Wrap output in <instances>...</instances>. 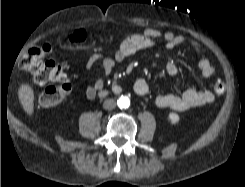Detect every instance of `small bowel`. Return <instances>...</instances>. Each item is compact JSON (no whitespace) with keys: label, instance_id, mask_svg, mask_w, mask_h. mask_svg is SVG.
Listing matches in <instances>:
<instances>
[{"label":"small bowel","instance_id":"1","mask_svg":"<svg viewBox=\"0 0 245 187\" xmlns=\"http://www.w3.org/2000/svg\"><path fill=\"white\" fill-rule=\"evenodd\" d=\"M76 32V31H75ZM86 37L91 38L92 34H86ZM162 40L165 47L169 50L177 46L188 44L199 56V78L206 79L212 76L215 68L211 60L202 54L200 45L187 35H179L173 32H162L158 29L148 28L142 33L125 34L119 48L110 57L104 56L103 53L97 52L90 56L87 62V70L98 62H102L103 77L98 78L95 82L88 86L86 96L94 98L104 85V80L108 77L114 68L128 57L135 53L151 48L156 43ZM168 75L175 76L178 74V67L173 62H168L165 66ZM134 91L139 96H145L149 91L148 83L145 79L139 78L134 83ZM213 96L208 91H201L194 86H189L180 95L165 94L157 96L154 100L156 107L161 109H171L174 111H186L191 108L207 105L211 103Z\"/></svg>","mask_w":245,"mask_h":187}]
</instances>
